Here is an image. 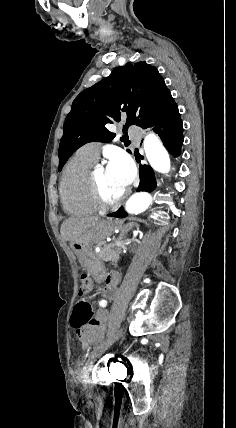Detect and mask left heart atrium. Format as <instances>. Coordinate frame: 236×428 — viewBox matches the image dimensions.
Masks as SVG:
<instances>
[{"instance_id":"39dd6f15","label":"left heart atrium","mask_w":236,"mask_h":428,"mask_svg":"<svg viewBox=\"0 0 236 428\" xmlns=\"http://www.w3.org/2000/svg\"><path fill=\"white\" fill-rule=\"evenodd\" d=\"M108 170L111 174L120 178L127 187L132 183L135 176V169L132 162L124 155L111 157Z\"/></svg>"}]
</instances>
